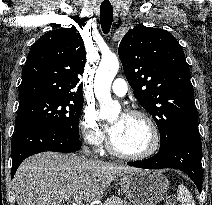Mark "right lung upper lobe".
I'll return each mask as SVG.
<instances>
[{"mask_svg": "<svg viewBox=\"0 0 212 205\" xmlns=\"http://www.w3.org/2000/svg\"><path fill=\"white\" fill-rule=\"evenodd\" d=\"M86 51L75 26L44 34L31 47L22 70L19 99L50 95L84 100L78 78L84 71ZM78 86V91H72Z\"/></svg>", "mask_w": 212, "mask_h": 205, "instance_id": "cb5924a9", "label": "right lung upper lobe"}]
</instances>
